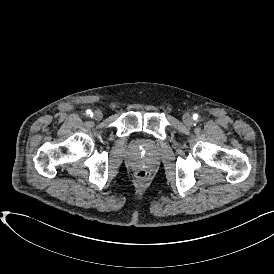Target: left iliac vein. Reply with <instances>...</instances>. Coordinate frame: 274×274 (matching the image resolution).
<instances>
[{
	"label": "left iliac vein",
	"instance_id": "left-iliac-vein-1",
	"mask_svg": "<svg viewBox=\"0 0 274 274\" xmlns=\"http://www.w3.org/2000/svg\"><path fill=\"white\" fill-rule=\"evenodd\" d=\"M182 119L187 126H191L193 124V118L189 113L184 114Z\"/></svg>",
	"mask_w": 274,
	"mask_h": 274
}]
</instances>
